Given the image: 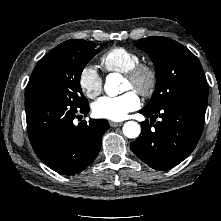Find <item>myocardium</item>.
<instances>
[{"label":"myocardium","instance_id":"f54148a6","mask_svg":"<svg viewBox=\"0 0 221 221\" xmlns=\"http://www.w3.org/2000/svg\"><path fill=\"white\" fill-rule=\"evenodd\" d=\"M124 76L130 82L132 89L144 97H150L156 89L157 72L149 63L138 62Z\"/></svg>","mask_w":221,"mask_h":221}]
</instances>
